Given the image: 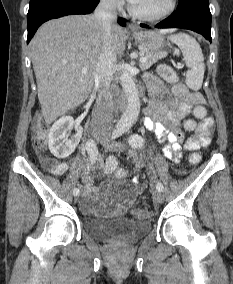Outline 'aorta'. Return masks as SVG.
Here are the masks:
<instances>
[{
	"instance_id": "762f6f07",
	"label": "aorta",
	"mask_w": 233,
	"mask_h": 284,
	"mask_svg": "<svg viewBox=\"0 0 233 284\" xmlns=\"http://www.w3.org/2000/svg\"><path fill=\"white\" fill-rule=\"evenodd\" d=\"M120 81L127 99V106L118 122V127L127 130L138 118L140 112V98L133 77L128 71L121 73Z\"/></svg>"
}]
</instances>
